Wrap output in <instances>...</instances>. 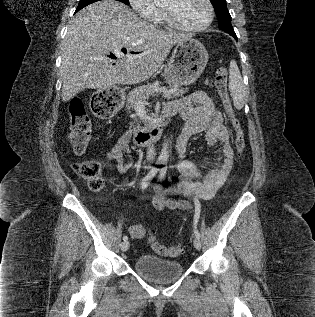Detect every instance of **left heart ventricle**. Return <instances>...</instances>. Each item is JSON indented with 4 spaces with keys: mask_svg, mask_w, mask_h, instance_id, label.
<instances>
[{
    "mask_svg": "<svg viewBox=\"0 0 315 317\" xmlns=\"http://www.w3.org/2000/svg\"><path fill=\"white\" fill-rule=\"evenodd\" d=\"M163 8L169 10L176 21L186 26L202 25L208 17L204 0H166Z\"/></svg>",
    "mask_w": 315,
    "mask_h": 317,
    "instance_id": "1",
    "label": "left heart ventricle"
}]
</instances>
